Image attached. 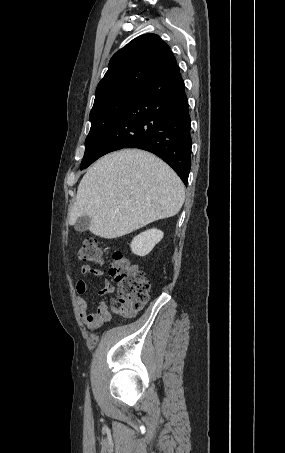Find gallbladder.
<instances>
[{"instance_id": "bac80fb5", "label": "gallbladder", "mask_w": 285, "mask_h": 453, "mask_svg": "<svg viewBox=\"0 0 285 453\" xmlns=\"http://www.w3.org/2000/svg\"><path fill=\"white\" fill-rule=\"evenodd\" d=\"M89 225H90V217L89 216H80L75 224H74V228L76 231L78 232H85L89 229Z\"/></svg>"}]
</instances>
